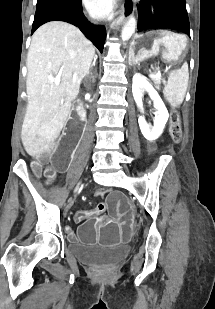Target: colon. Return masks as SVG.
Here are the masks:
<instances>
[{"mask_svg":"<svg viewBox=\"0 0 215 309\" xmlns=\"http://www.w3.org/2000/svg\"><path fill=\"white\" fill-rule=\"evenodd\" d=\"M170 131L173 141L175 143H179L181 141L182 131H181L180 115L176 109H173L171 111ZM46 174L48 182H51L55 177V170L53 168H48Z\"/></svg>","mask_w":215,"mask_h":309,"instance_id":"colon-1","label":"colon"}]
</instances>
